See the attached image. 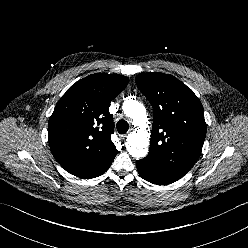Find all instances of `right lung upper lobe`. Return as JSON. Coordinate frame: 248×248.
<instances>
[{
	"label": "right lung upper lobe",
	"mask_w": 248,
	"mask_h": 248,
	"mask_svg": "<svg viewBox=\"0 0 248 248\" xmlns=\"http://www.w3.org/2000/svg\"><path fill=\"white\" fill-rule=\"evenodd\" d=\"M128 82L118 74H93L72 85L59 100L49 119L48 139L66 171L90 179L110 167L118 150L111 141L109 106Z\"/></svg>",
	"instance_id": "obj_1"
}]
</instances>
